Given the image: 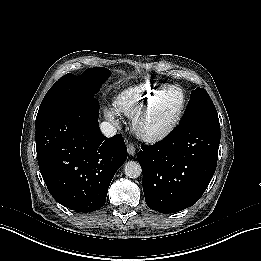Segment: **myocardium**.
Instances as JSON below:
<instances>
[{
    "instance_id": "obj_1",
    "label": "myocardium",
    "mask_w": 261,
    "mask_h": 261,
    "mask_svg": "<svg viewBox=\"0 0 261 261\" xmlns=\"http://www.w3.org/2000/svg\"><path fill=\"white\" fill-rule=\"evenodd\" d=\"M164 94H166V92H159L157 93L155 96H153L152 98H150V100L148 101L147 105L145 106V108L141 111V113L135 115L134 117H132V123L133 125H135V127H138V122L140 120V116L144 115L147 111H149L151 109V107H153L155 100L159 97V96H163ZM180 100H179V105L175 111V113L173 114V116L170 118V120L167 122V124L161 129V133H163L166 129L170 128L172 124H174L182 110H183V106H184V97L182 94H179Z\"/></svg>"
}]
</instances>
